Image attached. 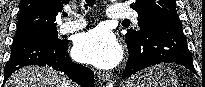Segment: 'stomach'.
<instances>
[{
	"instance_id": "stomach-1",
	"label": "stomach",
	"mask_w": 205,
	"mask_h": 87,
	"mask_svg": "<svg viewBox=\"0 0 205 87\" xmlns=\"http://www.w3.org/2000/svg\"><path fill=\"white\" fill-rule=\"evenodd\" d=\"M125 87H179V80L170 68L159 64L132 76Z\"/></svg>"
}]
</instances>
